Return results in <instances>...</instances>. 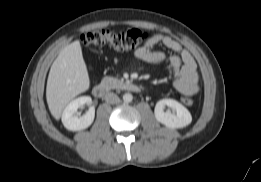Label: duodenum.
Listing matches in <instances>:
<instances>
[{"label":"duodenum","mask_w":261,"mask_h":182,"mask_svg":"<svg viewBox=\"0 0 261 182\" xmlns=\"http://www.w3.org/2000/svg\"><path fill=\"white\" fill-rule=\"evenodd\" d=\"M122 87L125 90H129V91H132V92H139L140 91V87L132 81H127V82L123 83ZM107 91H108L107 86L99 84V85H96L93 88V95L96 98H103L106 95Z\"/></svg>","instance_id":"obj_1"}]
</instances>
